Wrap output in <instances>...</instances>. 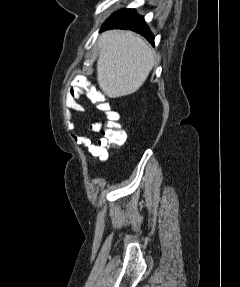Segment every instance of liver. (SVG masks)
<instances>
[{
	"label": "liver",
	"instance_id": "6515ba94",
	"mask_svg": "<svg viewBox=\"0 0 240 287\" xmlns=\"http://www.w3.org/2000/svg\"><path fill=\"white\" fill-rule=\"evenodd\" d=\"M97 80L110 98L130 95L146 81L154 64V51L131 31H106L98 40Z\"/></svg>",
	"mask_w": 240,
	"mask_h": 287
}]
</instances>
